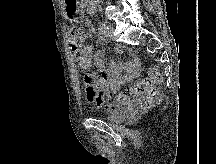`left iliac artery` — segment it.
Segmentation results:
<instances>
[{
    "mask_svg": "<svg viewBox=\"0 0 216 164\" xmlns=\"http://www.w3.org/2000/svg\"><path fill=\"white\" fill-rule=\"evenodd\" d=\"M100 30H101L102 34L106 35L107 31H108L107 25L105 23H101L100 24Z\"/></svg>",
    "mask_w": 216,
    "mask_h": 164,
    "instance_id": "1",
    "label": "left iliac artery"
}]
</instances>
